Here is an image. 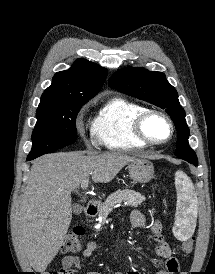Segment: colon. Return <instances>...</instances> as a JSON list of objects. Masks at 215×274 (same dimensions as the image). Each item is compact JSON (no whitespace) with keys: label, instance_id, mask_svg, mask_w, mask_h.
Masks as SVG:
<instances>
[{"label":"colon","instance_id":"5ec220e1","mask_svg":"<svg viewBox=\"0 0 215 274\" xmlns=\"http://www.w3.org/2000/svg\"><path fill=\"white\" fill-rule=\"evenodd\" d=\"M83 229L80 227L73 228L67 235L64 244L62 246V251L65 253H76L79 252L82 248L81 236L83 235ZM193 249V243L191 241L184 242L182 244V250L185 253H190ZM64 270L60 269L59 271L49 272L46 274H64Z\"/></svg>","mask_w":215,"mask_h":274}]
</instances>
